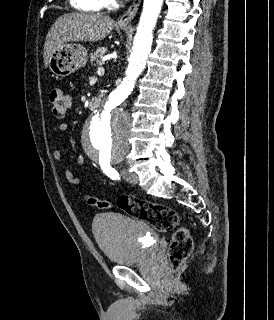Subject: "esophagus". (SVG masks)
<instances>
[{
	"instance_id": "obj_1",
	"label": "esophagus",
	"mask_w": 274,
	"mask_h": 320,
	"mask_svg": "<svg viewBox=\"0 0 274 320\" xmlns=\"http://www.w3.org/2000/svg\"><path fill=\"white\" fill-rule=\"evenodd\" d=\"M141 1L142 0H133L127 12H125L124 15H122V17L119 18L118 20L119 26H127L131 24V21L135 17Z\"/></svg>"
}]
</instances>
